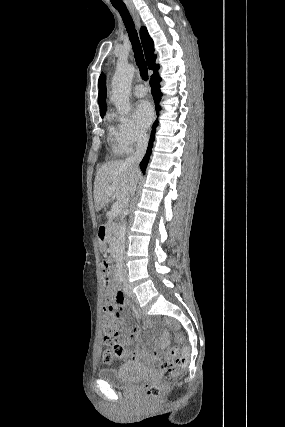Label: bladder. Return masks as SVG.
Returning a JSON list of instances; mask_svg holds the SVG:
<instances>
[{
    "label": "bladder",
    "instance_id": "bladder-1",
    "mask_svg": "<svg viewBox=\"0 0 285 427\" xmlns=\"http://www.w3.org/2000/svg\"><path fill=\"white\" fill-rule=\"evenodd\" d=\"M98 377L113 387L129 389L149 376V370L134 363H125L118 367L102 368Z\"/></svg>",
    "mask_w": 285,
    "mask_h": 427
}]
</instances>
